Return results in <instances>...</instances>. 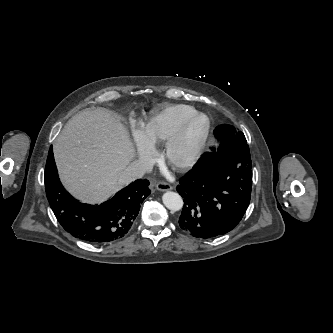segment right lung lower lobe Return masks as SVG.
<instances>
[{
	"mask_svg": "<svg viewBox=\"0 0 333 333\" xmlns=\"http://www.w3.org/2000/svg\"><path fill=\"white\" fill-rule=\"evenodd\" d=\"M48 202L61 226L85 242L105 244L122 238L130 230L140 205L151 193L149 181L138 179L100 205L84 204L62 186L52 147L44 174Z\"/></svg>",
	"mask_w": 333,
	"mask_h": 333,
	"instance_id": "right-lung-lower-lobe-1",
	"label": "right lung lower lobe"
}]
</instances>
